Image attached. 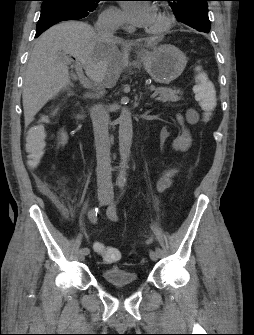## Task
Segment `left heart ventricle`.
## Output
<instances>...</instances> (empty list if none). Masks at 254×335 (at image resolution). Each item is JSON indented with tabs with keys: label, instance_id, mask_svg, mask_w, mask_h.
<instances>
[{
	"label": "left heart ventricle",
	"instance_id": "1",
	"mask_svg": "<svg viewBox=\"0 0 254 335\" xmlns=\"http://www.w3.org/2000/svg\"><path fill=\"white\" fill-rule=\"evenodd\" d=\"M161 24V20L160 18L158 17V15H156V18L153 22V25H152V29H156L157 27H159Z\"/></svg>",
	"mask_w": 254,
	"mask_h": 335
}]
</instances>
